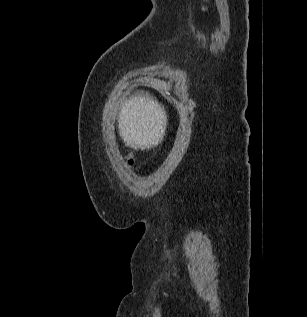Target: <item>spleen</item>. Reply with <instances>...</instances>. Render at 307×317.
<instances>
[{"mask_svg":"<svg viewBox=\"0 0 307 317\" xmlns=\"http://www.w3.org/2000/svg\"><path fill=\"white\" fill-rule=\"evenodd\" d=\"M162 114L155 100H145L142 94H133L130 104L120 113L122 137L130 145L139 144L143 139H165V132H155V129H171V122H159ZM153 149V143H144L143 148H139V155H144V150Z\"/></svg>","mask_w":307,"mask_h":317,"instance_id":"spleen-1","label":"spleen"}]
</instances>
